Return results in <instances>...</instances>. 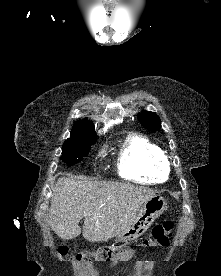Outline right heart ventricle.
<instances>
[{
	"label": "right heart ventricle",
	"instance_id": "right-heart-ventricle-1",
	"mask_svg": "<svg viewBox=\"0 0 221 276\" xmlns=\"http://www.w3.org/2000/svg\"><path fill=\"white\" fill-rule=\"evenodd\" d=\"M117 166L122 178L140 183L163 182L170 171L163 150L139 134L126 138L119 152Z\"/></svg>",
	"mask_w": 221,
	"mask_h": 276
}]
</instances>
